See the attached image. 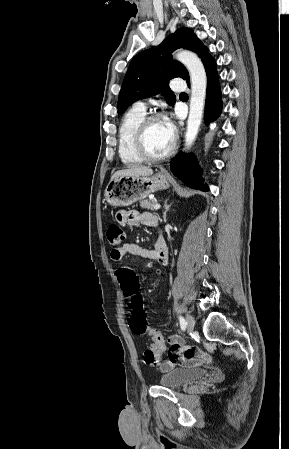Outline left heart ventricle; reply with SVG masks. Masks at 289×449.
<instances>
[{
  "mask_svg": "<svg viewBox=\"0 0 289 449\" xmlns=\"http://www.w3.org/2000/svg\"><path fill=\"white\" fill-rule=\"evenodd\" d=\"M173 133L168 129L165 121L153 122L146 133L147 150L152 155L164 154L171 146Z\"/></svg>",
  "mask_w": 289,
  "mask_h": 449,
  "instance_id": "obj_1",
  "label": "left heart ventricle"
}]
</instances>
